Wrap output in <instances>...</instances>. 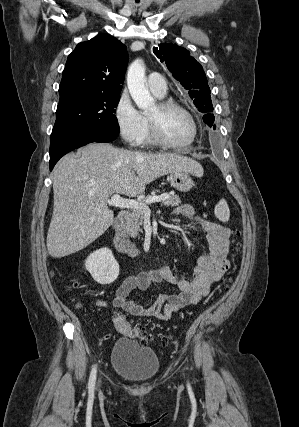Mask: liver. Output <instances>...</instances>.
<instances>
[{
  "label": "liver",
  "mask_w": 299,
  "mask_h": 427,
  "mask_svg": "<svg viewBox=\"0 0 299 427\" xmlns=\"http://www.w3.org/2000/svg\"><path fill=\"white\" fill-rule=\"evenodd\" d=\"M175 171L203 175L202 166L188 157L124 150L108 143H91L65 155L53 171L48 253L61 258L85 248L113 223L114 213L107 206L113 194L138 196L147 184Z\"/></svg>",
  "instance_id": "obj_1"
}]
</instances>
